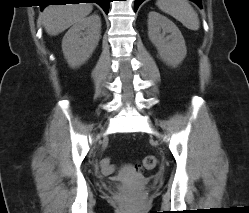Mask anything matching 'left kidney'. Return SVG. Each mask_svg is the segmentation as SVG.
Wrapping results in <instances>:
<instances>
[{
	"mask_svg": "<svg viewBox=\"0 0 249 213\" xmlns=\"http://www.w3.org/2000/svg\"><path fill=\"white\" fill-rule=\"evenodd\" d=\"M148 36L168 66L177 67L186 57L185 40L178 27L155 11L148 14Z\"/></svg>",
	"mask_w": 249,
	"mask_h": 213,
	"instance_id": "1",
	"label": "left kidney"
}]
</instances>
